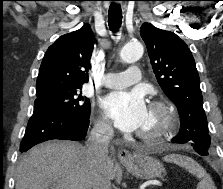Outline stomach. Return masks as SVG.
<instances>
[{
	"mask_svg": "<svg viewBox=\"0 0 223 189\" xmlns=\"http://www.w3.org/2000/svg\"><path fill=\"white\" fill-rule=\"evenodd\" d=\"M123 164L132 175L140 179L161 177L165 171L161 162L141 153L135 154L131 162Z\"/></svg>",
	"mask_w": 223,
	"mask_h": 189,
	"instance_id": "1",
	"label": "stomach"
}]
</instances>
